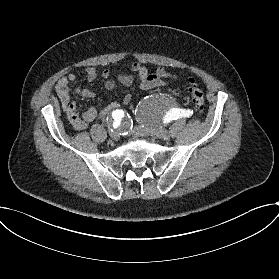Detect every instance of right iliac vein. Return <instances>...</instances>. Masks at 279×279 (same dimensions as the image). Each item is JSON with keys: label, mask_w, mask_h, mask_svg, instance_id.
I'll list each match as a JSON object with an SVG mask.
<instances>
[{"label": "right iliac vein", "mask_w": 279, "mask_h": 279, "mask_svg": "<svg viewBox=\"0 0 279 279\" xmlns=\"http://www.w3.org/2000/svg\"><path fill=\"white\" fill-rule=\"evenodd\" d=\"M109 135H110V137L113 138L114 140H117V139H118V132H117V130H115V129H111V130L109 131Z\"/></svg>", "instance_id": "right-iliac-vein-1"}]
</instances>
